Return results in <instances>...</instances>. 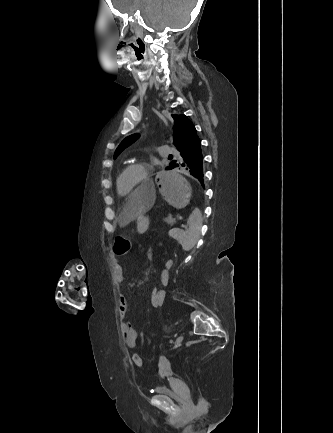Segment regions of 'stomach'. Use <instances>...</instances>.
<instances>
[{
	"label": "stomach",
	"mask_w": 333,
	"mask_h": 433,
	"mask_svg": "<svg viewBox=\"0 0 333 433\" xmlns=\"http://www.w3.org/2000/svg\"><path fill=\"white\" fill-rule=\"evenodd\" d=\"M155 183L160 185L162 198L165 199L172 210H186L193 193L189 183L179 169H164L155 174ZM184 200V201H183ZM138 228L148 227V217L140 215L137 220Z\"/></svg>",
	"instance_id": "stomach-1"
}]
</instances>
